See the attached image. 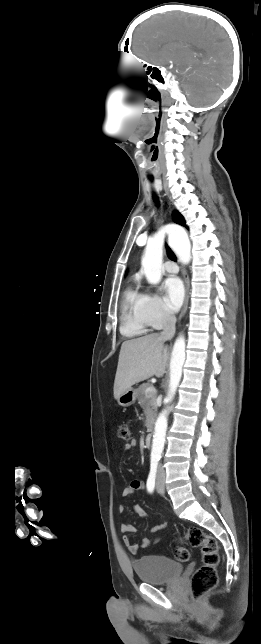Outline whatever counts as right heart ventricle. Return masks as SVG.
Returning <instances> with one entry per match:
<instances>
[{
    "label": "right heart ventricle",
    "instance_id": "obj_1",
    "mask_svg": "<svg viewBox=\"0 0 261 644\" xmlns=\"http://www.w3.org/2000/svg\"><path fill=\"white\" fill-rule=\"evenodd\" d=\"M149 321L144 308V294L133 287L124 292L122 302L121 332L127 337L144 335L149 331Z\"/></svg>",
    "mask_w": 261,
    "mask_h": 644
}]
</instances>
